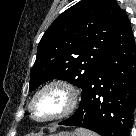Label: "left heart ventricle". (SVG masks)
Here are the masks:
<instances>
[{
    "mask_svg": "<svg viewBox=\"0 0 136 136\" xmlns=\"http://www.w3.org/2000/svg\"><path fill=\"white\" fill-rule=\"evenodd\" d=\"M65 104V94L59 89H51L36 99L33 111L36 117L46 118L59 113Z\"/></svg>",
    "mask_w": 136,
    "mask_h": 136,
    "instance_id": "b2bd125f",
    "label": "left heart ventricle"
}]
</instances>
